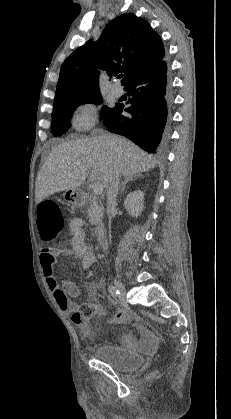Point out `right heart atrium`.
Segmentation results:
<instances>
[{"mask_svg": "<svg viewBox=\"0 0 231 419\" xmlns=\"http://www.w3.org/2000/svg\"><path fill=\"white\" fill-rule=\"evenodd\" d=\"M98 117V106L92 101L79 104L72 116L73 126L80 131L91 128Z\"/></svg>", "mask_w": 231, "mask_h": 419, "instance_id": "right-heart-atrium-1", "label": "right heart atrium"}]
</instances>
